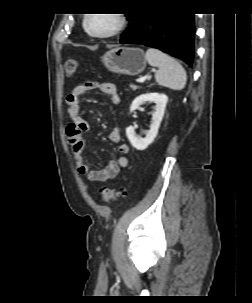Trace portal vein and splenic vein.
<instances>
[{"mask_svg": "<svg viewBox=\"0 0 252 303\" xmlns=\"http://www.w3.org/2000/svg\"><path fill=\"white\" fill-rule=\"evenodd\" d=\"M147 78H148V76L140 77V78L137 80V82H138V83H143Z\"/></svg>", "mask_w": 252, "mask_h": 303, "instance_id": "obj_1", "label": "portal vein and splenic vein"}]
</instances>
